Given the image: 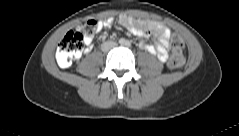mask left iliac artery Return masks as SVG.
<instances>
[{
	"label": "left iliac artery",
	"mask_w": 239,
	"mask_h": 136,
	"mask_svg": "<svg viewBox=\"0 0 239 136\" xmlns=\"http://www.w3.org/2000/svg\"><path fill=\"white\" fill-rule=\"evenodd\" d=\"M127 46H130L131 45V43L129 42V41H126V43H125Z\"/></svg>",
	"instance_id": "left-iliac-artery-1"
}]
</instances>
